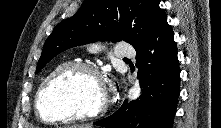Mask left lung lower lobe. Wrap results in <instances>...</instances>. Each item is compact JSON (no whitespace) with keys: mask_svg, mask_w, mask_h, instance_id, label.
<instances>
[{"mask_svg":"<svg viewBox=\"0 0 221 128\" xmlns=\"http://www.w3.org/2000/svg\"><path fill=\"white\" fill-rule=\"evenodd\" d=\"M174 33L167 16L135 47L142 94L111 116L94 122L107 128H172L180 92V69Z\"/></svg>","mask_w":221,"mask_h":128,"instance_id":"1","label":"left lung lower lobe"}]
</instances>
